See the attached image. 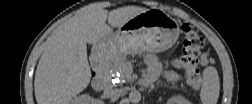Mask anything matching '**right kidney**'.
Returning a JSON list of instances; mask_svg holds the SVG:
<instances>
[{
    "label": "right kidney",
    "instance_id": "1",
    "mask_svg": "<svg viewBox=\"0 0 252 104\" xmlns=\"http://www.w3.org/2000/svg\"><path fill=\"white\" fill-rule=\"evenodd\" d=\"M92 102V98L88 94H82L75 97L71 104H89Z\"/></svg>",
    "mask_w": 252,
    "mask_h": 104
}]
</instances>
